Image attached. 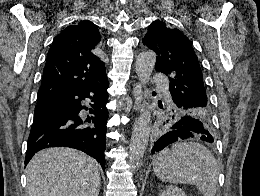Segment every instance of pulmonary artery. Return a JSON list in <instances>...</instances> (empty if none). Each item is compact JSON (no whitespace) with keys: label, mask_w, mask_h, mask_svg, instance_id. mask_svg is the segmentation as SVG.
I'll return each instance as SVG.
<instances>
[{"label":"pulmonary artery","mask_w":260,"mask_h":196,"mask_svg":"<svg viewBox=\"0 0 260 196\" xmlns=\"http://www.w3.org/2000/svg\"><path fill=\"white\" fill-rule=\"evenodd\" d=\"M152 84H167V79H163L159 72H154L151 80Z\"/></svg>","instance_id":"1"}]
</instances>
